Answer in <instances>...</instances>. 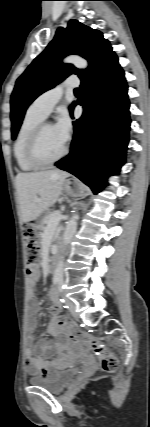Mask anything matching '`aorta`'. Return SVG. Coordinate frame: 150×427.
<instances>
[{
  "instance_id": "762f6f07",
  "label": "aorta",
  "mask_w": 150,
  "mask_h": 427,
  "mask_svg": "<svg viewBox=\"0 0 150 427\" xmlns=\"http://www.w3.org/2000/svg\"><path fill=\"white\" fill-rule=\"evenodd\" d=\"M64 63H71L78 69H85L88 67V62L84 58L77 55H70L66 57L64 59ZM78 219H79V216L77 214H74L65 228V231L63 234L64 250L69 245V243L71 242L76 232ZM63 277H64V256H61L56 265L53 278L57 282H62Z\"/></svg>"
}]
</instances>
